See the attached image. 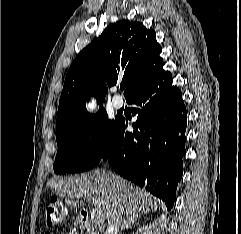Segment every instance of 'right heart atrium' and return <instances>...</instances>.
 I'll list each match as a JSON object with an SVG mask.
<instances>
[{"instance_id":"1","label":"right heart atrium","mask_w":241,"mask_h":234,"mask_svg":"<svg viewBox=\"0 0 241 234\" xmlns=\"http://www.w3.org/2000/svg\"><path fill=\"white\" fill-rule=\"evenodd\" d=\"M83 142L87 152L91 155H97L103 148V137L98 127H91L84 136Z\"/></svg>"}]
</instances>
